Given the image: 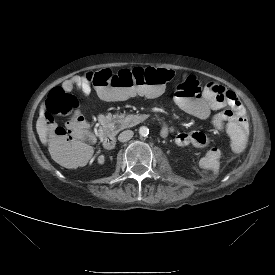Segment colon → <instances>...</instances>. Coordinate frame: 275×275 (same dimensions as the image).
Segmentation results:
<instances>
[{"mask_svg":"<svg viewBox=\"0 0 275 275\" xmlns=\"http://www.w3.org/2000/svg\"><path fill=\"white\" fill-rule=\"evenodd\" d=\"M175 77V72L168 69L147 67L122 70L113 74L104 69L87 72L85 78L97 87L100 96L108 101L141 97H157L162 94L164 86ZM192 84L199 89L200 82L195 76H185L180 86ZM79 107V101L66 90L57 87L49 95L46 105V118L49 124L54 116H68ZM78 129L70 124L68 130L56 128L51 140V153L60 156L73 149Z\"/></svg>","mask_w":275,"mask_h":275,"instance_id":"obj_1","label":"colon"}]
</instances>
